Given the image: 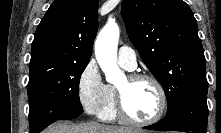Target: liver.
Returning a JSON list of instances; mask_svg holds the SVG:
<instances>
[{
	"label": "liver",
	"instance_id": "6515ba94",
	"mask_svg": "<svg viewBox=\"0 0 221 133\" xmlns=\"http://www.w3.org/2000/svg\"><path fill=\"white\" fill-rule=\"evenodd\" d=\"M43 133H137V130L95 122L73 124L69 121H58L50 125Z\"/></svg>",
	"mask_w": 221,
	"mask_h": 133
}]
</instances>
